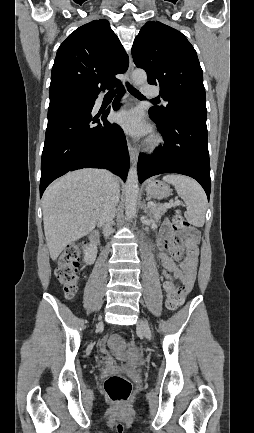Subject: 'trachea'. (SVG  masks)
Here are the masks:
<instances>
[{
    "label": "trachea",
    "instance_id": "obj_1",
    "mask_svg": "<svg viewBox=\"0 0 254 433\" xmlns=\"http://www.w3.org/2000/svg\"><path fill=\"white\" fill-rule=\"evenodd\" d=\"M128 91L135 97L140 98V99H144L145 97L138 91L136 90L134 87H132L131 85H127ZM115 90L113 89H109L107 94L110 95H115ZM153 101H157L156 99H154Z\"/></svg>",
    "mask_w": 254,
    "mask_h": 433
}]
</instances>
